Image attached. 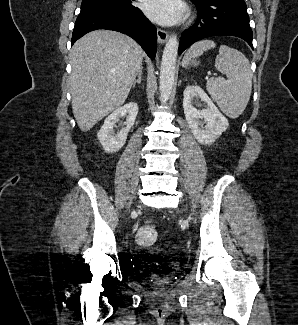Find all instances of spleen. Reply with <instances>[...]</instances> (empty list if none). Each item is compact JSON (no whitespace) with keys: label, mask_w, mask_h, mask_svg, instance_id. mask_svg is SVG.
Here are the masks:
<instances>
[{"label":"spleen","mask_w":298,"mask_h":325,"mask_svg":"<svg viewBox=\"0 0 298 325\" xmlns=\"http://www.w3.org/2000/svg\"><path fill=\"white\" fill-rule=\"evenodd\" d=\"M215 46L214 40L194 42L185 52L184 64H187L190 58L201 56L205 50ZM215 66L226 74L228 80L224 76H212L208 78L206 88L226 116L237 118L245 110L251 96L252 70L249 60L237 48L221 44L219 54L215 58Z\"/></svg>","instance_id":"obj_1"}]
</instances>
